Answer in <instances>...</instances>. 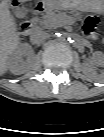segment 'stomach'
Masks as SVG:
<instances>
[{"label":"stomach","mask_w":104,"mask_h":137,"mask_svg":"<svg viewBox=\"0 0 104 137\" xmlns=\"http://www.w3.org/2000/svg\"><path fill=\"white\" fill-rule=\"evenodd\" d=\"M99 0H43V7L52 9H71L95 11L98 9Z\"/></svg>","instance_id":"obj_1"}]
</instances>
